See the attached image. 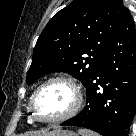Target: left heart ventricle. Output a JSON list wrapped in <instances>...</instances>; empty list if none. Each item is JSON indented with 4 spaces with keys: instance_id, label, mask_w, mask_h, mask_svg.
<instances>
[{
    "instance_id": "1",
    "label": "left heart ventricle",
    "mask_w": 136,
    "mask_h": 136,
    "mask_svg": "<svg viewBox=\"0 0 136 136\" xmlns=\"http://www.w3.org/2000/svg\"><path fill=\"white\" fill-rule=\"evenodd\" d=\"M73 104V93L62 83L46 86L36 97L35 113L38 117L49 119L67 112Z\"/></svg>"
}]
</instances>
